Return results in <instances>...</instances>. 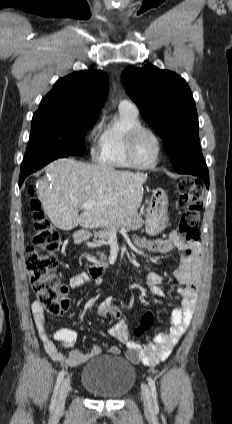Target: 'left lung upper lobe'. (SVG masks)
Returning a JSON list of instances; mask_svg holds the SVG:
<instances>
[{
    "label": "left lung upper lobe",
    "instance_id": "5c2ea615",
    "mask_svg": "<svg viewBox=\"0 0 232 424\" xmlns=\"http://www.w3.org/2000/svg\"><path fill=\"white\" fill-rule=\"evenodd\" d=\"M126 92L163 139L177 171L200 149L195 101L185 80L153 65L128 67L121 74Z\"/></svg>",
    "mask_w": 232,
    "mask_h": 424
}]
</instances>
